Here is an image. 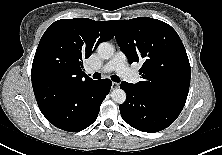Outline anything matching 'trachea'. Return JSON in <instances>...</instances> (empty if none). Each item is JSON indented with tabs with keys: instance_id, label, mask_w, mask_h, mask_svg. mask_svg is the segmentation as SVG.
<instances>
[{
	"instance_id": "1",
	"label": "trachea",
	"mask_w": 222,
	"mask_h": 155,
	"mask_svg": "<svg viewBox=\"0 0 222 155\" xmlns=\"http://www.w3.org/2000/svg\"><path fill=\"white\" fill-rule=\"evenodd\" d=\"M92 77H93L94 79H100V78H101V74H100V73H94V74L92 75ZM111 79H112L114 82H119V81H120V78H119L118 76H116V75L111 76Z\"/></svg>"
}]
</instances>
